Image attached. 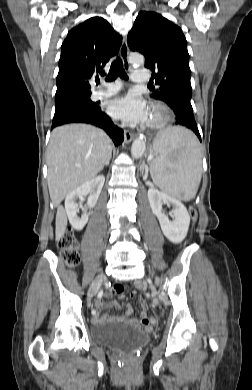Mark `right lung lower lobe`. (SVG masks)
I'll return each mask as SVG.
<instances>
[{"instance_id": "98d812e1", "label": "right lung lower lobe", "mask_w": 252, "mask_h": 390, "mask_svg": "<svg viewBox=\"0 0 252 390\" xmlns=\"http://www.w3.org/2000/svg\"><path fill=\"white\" fill-rule=\"evenodd\" d=\"M66 123H88L100 127L112 138L116 146L124 140L123 130L113 124L100 107L69 104L55 110L51 129Z\"/></svg>"}]
</instances>
